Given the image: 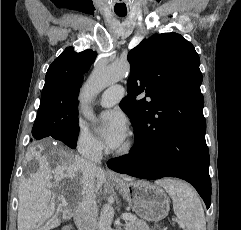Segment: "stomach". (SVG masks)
Returning <instances> with one entry per match:
<instances>
[{
  "instance_id": "1",
  "label": "stomach",
  "mask_w": 241,
  "mask_h": 230,
  "mask_svg": "<svg viewBox=\"0 0 241 230\" xmlns=\"http://www.w3.org/2000/svg\"><path fill=\"white\" fill-rule=\"evenodd\" d=\"M128 205L142 219L157 223L167 215L170 200L162 188L147 181H116Z\"/></svg>"
}]
</instances>
